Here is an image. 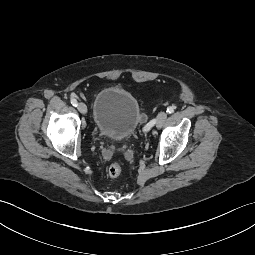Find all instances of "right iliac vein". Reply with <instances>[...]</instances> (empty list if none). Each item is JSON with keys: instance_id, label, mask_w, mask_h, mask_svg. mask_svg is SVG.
Wrapping results in <instances>:
<instances>
[{"instance_id": "63e3f726", "label": "right iliac vein", "mask_w": 255, "mask_h": 255, "mask_svg": "<svg viewBox=\"0 0 255 255\" xmlns=\"http://www.w3.org/2000/svg\"><path fill=\"white\" fill-rule=\"evenodd\" d=\"M77 108L80 113H82V114L87 113V106L83 102L78 103Z\"/></svg>"}]
</instances>
